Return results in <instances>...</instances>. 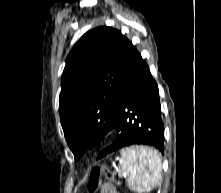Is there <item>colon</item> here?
Masks as SVG:
<instances>
[{
    "mask_svg": "<svg viewBox=\"0 0 221 193\" xmlns=\"http://www.w3.org/2000/svg\"><path fill=\"white\" fill-rule=\"evenodd\" d=\"M102 176L108 180L113 179L111 172L104 166H96L91 170L86 183L87 190L90 193H94L101 188Z\"/></svg>",
    "mask_w": 221,
    "mask_h": 193,
    "instance_id": "obj_1",
    "label": "colon"
}]
</instances>
